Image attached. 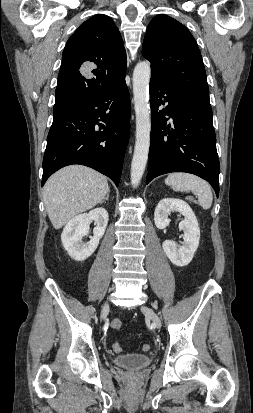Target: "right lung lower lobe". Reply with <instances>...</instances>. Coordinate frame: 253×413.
<instances>
[{"label": "right lung lower lobe", "mask_w": 253, "mask_h": 413, "mask_svg": "<svg viewBox=\"0 0 253 413\" xmlns=\"http://www.w3.org/2000/svg\"><path fill=\"white\" fill-rule=\"evenodd\" d=\"M129 120L125 78L96 97L54 115L43 159L42 186L51 174L71 164L91 167L118 186Z\"/></svg>", "instance_id": "1"}]
</instances>
